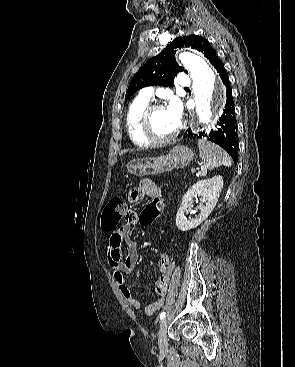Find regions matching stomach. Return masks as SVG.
<instances>
[{"instance_id": "obj_1", "label": "stomach", "mask_w": 295, "mask_h": 367, "mask_svg": "<svg viewBox=\"0 0 295 367\" xmlns=\"http://www.w3.org/2000/svg\"><path fill=\"white\" fill-rule=\"evenodd\" d=\"M193 158L194 153L191 149L178 145L166 155L135 160L128 164L127 169L136 176L154 175L185 168Z\"/></svg>"}]
</instances>
